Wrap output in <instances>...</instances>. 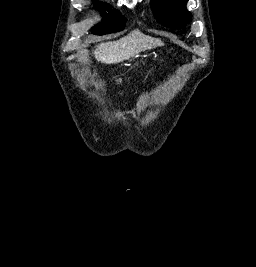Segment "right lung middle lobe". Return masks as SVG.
Segmentation results:
<instances>
[{
    "mask_svg": "<svg viewBox=\"0 0 256 267\" xmlns=\"http://www.w3.org/2000/svg\"><path fill=\"white\" fill-rule=\"evenodd\" d=\"M102 9L108 10V13H104L105 16L102 24L93 27L92 33L95 35H105L116 31H121L125 27L126 18L117 10H111L108 5H101Z\"/></svg>",
    "mask_w": 256,
    "mask_h": 267,
    "instance_id": "1",
    "label": "right lung middle lobe"
}]
</instances>
